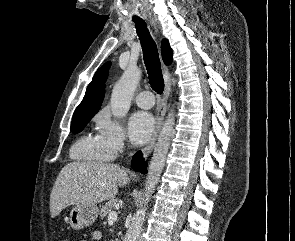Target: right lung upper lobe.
I'll list each match as a JSON object with an SVG mask.
<instances>
[{
  "mask_svg": "<svg viewBox=\"0 0 295 241\" xmlns=\"http://www.w3.org/2000/svg\"><path fill=\"white\" fill-rule=\"evenodd\" d=\"M161 50L164 63L166 65H170L172 63L173 54L168 40L163 39ZM110 65L111 63L107 62L96 71L91 83L87 87L82 102L76 108L74 114L95 112L99 110L105 92L104 82L108 76V69Z\"/></svg>",
  "mask_w": 295,
  "mask_h": 241,
  "instance_id": "1",
  "label": "right lung upper lobe"
}]
</instances>
